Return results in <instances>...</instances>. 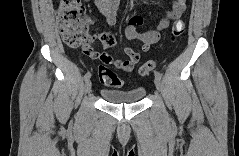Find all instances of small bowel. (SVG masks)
<instances>
[{
  "mask_svg": "<svg viewBox=\"0 0 239 156\" xmlns=\"http://www.w3.org/2000/svg\"><path fill=\"white\" fill-rule=\"evenodd\" d=\"M95 5L97 11L103 15L109 25L114 26L117 23L118 0H96ZM185 9L186 4L184 0L173 1L171 8L166 11L165 17L161 19L154 28L144 32H140L137 29V26L143 23V19L139 16L132 17L125 28V38L128 41H138L142 45L140 50L125 47V53L128 55V59H115L106 51H95L90 45L91 39H89L88 43L89 49L86 50L82 48L83 52L89 58L98 59L105 65H112L119 70L131 72L139 62L141 55L148 51L150 45L159 41L160 32L167 29L172 21L178 20ZM96 37L103 43L104 49L112 47L115 43V37L110 31L98 30Z\"/></svg>",
  "mask_w": 239,
  "mask_h": 156,
  "instance_id": "obj_1",
  "label": "small bowel"
}]
</instances>
